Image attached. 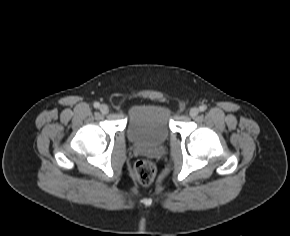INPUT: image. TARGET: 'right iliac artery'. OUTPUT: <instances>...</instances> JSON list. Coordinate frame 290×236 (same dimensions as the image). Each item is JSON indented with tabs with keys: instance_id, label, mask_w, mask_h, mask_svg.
I'll use <instances>...</instances> for the list:
<instances>
[{
	"instance_id": "obj_1",
	"label": "right iliac artery",
	"mask_w": 290,
	"mask_h": 236,
	"mask_svg": "<svg viewBox=\"0 0 290 236\" xmlns=\"http://www.w3.org/2000/svg\"><path fill=\"white\" fill-rule=\"evenodd\" d=\"M94 107H95V108H99V107H100V104H99L98 102H95V103H94Z\"/></svg>"
}]
</instances>
